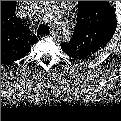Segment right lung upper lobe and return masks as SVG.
I'll return each instance as SVG.
<instances>
[{"instance_id": "right-lung-upper-lobe-1", "label": "right lung upper lobe", "mask_w": 121, "mask_h": 121, "mask_svg": "<svg viewBox=\"0 0 121 121\" xmlns=\"http://www.w3.org/2000/svg\"><path fill=\"white\" fill-rule=\"evenodd\" d=\"M16 1L1 2V59L12 62L26 55L36 38L15 15Z\"/></svg>"}]
</instances>
